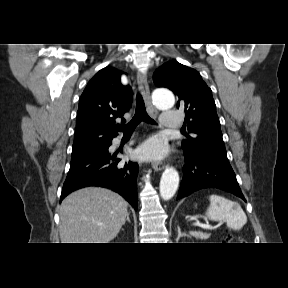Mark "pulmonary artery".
<instances>
[{"label": "pulmonary artery", "mask_w": 288, "mask_h": 288, "mask_svg": "<svg viewBox=\"0 0 288 288\" xmlns=\"http://www.w3.org/2000/svg\"><path fill=\"white\" fill-rule=\"evenodd\" d=\"M182 115L176 111H163L161 115V126L176 129L181 126Z\"/></svg>", "instance_id": "obj_1"}]
</instances>
